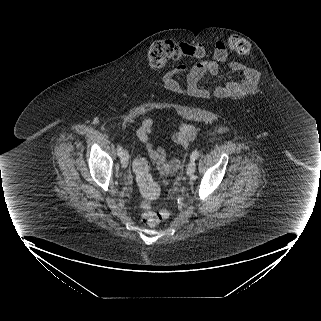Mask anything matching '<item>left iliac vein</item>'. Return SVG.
I'll list each match as a JSON object with an SVG mask.
<instances>
[{"instance_id":"obj_1","label":"left iliac vein","mask_w":321,"mask_h":321,"mask_svg":"<svg viewBox=\"0 0 321 321\" xmlns=\"http://www.w3.org/2000/svg\"><path fill=\"white\" fill-rule=\"evenodd\" d=\"M195 169H196V163L194 160H191L189 163H188V166H187V174L189 176H192L195 172Z\"/></svg>"}]
</instances>
